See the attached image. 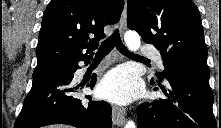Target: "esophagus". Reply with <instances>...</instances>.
Segmentation results:
<instances>
[{
	"label": "esophagus",
	"mask_w": 221,
	"mask_h": 128,
	"mask_svg": "<svg viewBox=\"0 0 221 128\" xmlns=\"http://www.w3.org/2000/svg\"><path fill=\"white\" fill-rule=\"evenodd\" d=\"M126 18H127V9L126 2L120 19V31L122 34L126 31ZM126 111L124 108L113 105L112 106V120L115 125H122L125 122Z\"/></svg>",
	"instance_id": "esophagus-1"
}]
</instances>
